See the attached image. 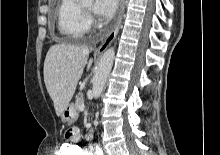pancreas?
<instances>
[{"label":"pancreas","mask_w":220,"mask_h":155,"mask_svg":"<svg viewBox=\"0 0 220 155\" xmlns=\"http://www.w3.org/2000/svg\"><path fill=\"white\" fill-rule=\"evenodd\" d=\"M83 104H84L83 94L79 93L74 104L75 111H80V106Z\"/></svg>","instance_id":"obj_1"}]
</instances>
